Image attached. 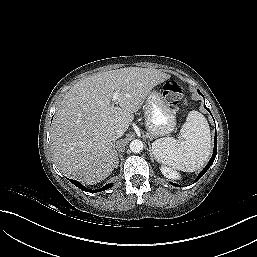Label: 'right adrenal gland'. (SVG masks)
Instances as JSON below:
<instances>
[{"label": "right adrenal gland", "instance_id": "right-adrenal-gland-1", "mask_svg": "<svg viewBox=\"0 0 257 257\" xmlns=\"http://www.w3.org/2000/svg\"><path fill=\"white\" fill-rule=\"evenodd\" d=\"M116 156H118L117 151H116ZM118 164H119V158L117 157L116 167H118Z\"/></svg>", "mask_w": 257, "mask_h": 257}]
</instances>
